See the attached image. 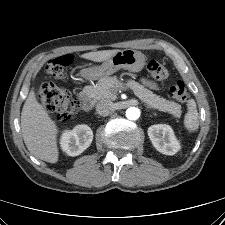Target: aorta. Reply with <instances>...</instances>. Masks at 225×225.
Masks as SVG:
<instances>
[{"label":"aorta","mask_w":225,"mask_h":225,"mask_svg":"<svg viewBox=\"0 0 225 225\" xmlns=\"http://www.w3.org/2000/svg\"><path fill=\"white\" fill-rule=\"evenodd\" d=\"M126 117L129 120H137L140 117V110L136 107H129L126 110Z\"/></svg>","instance_id":"aorta-1"}]
</instances>
